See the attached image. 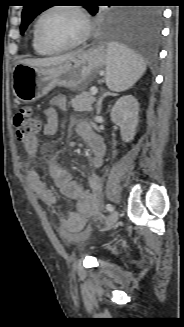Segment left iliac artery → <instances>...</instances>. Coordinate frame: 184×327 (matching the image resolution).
<instances>
[{
  "instance_id": "left-iliac-artery-1",
  "label": "left iliac artery",
  "mask_w": 184,
  "mask_h": 327,
  "mask_svg": "<svg viewBox=\"0 0 184 327\" xmlns=\"http://www.w3.org/2000/svg\"><path fill=\"white\" fill-rule=\"evenodd\" d=\"M106 209H107L108 211L112 212L114 208H113L112 204H107V205H106Z\"/></svg>"
}]
</instances>
